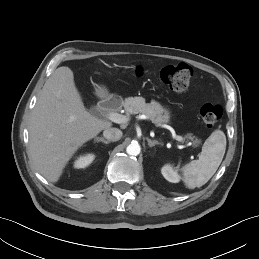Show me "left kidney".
<instances>
[{
  "label": "left kidney",
  "mask_w": 259,
  "mask_h": 259,
  "mask_svg": "<svg viewBox=\"0 0 259 259\" xmlns=\"http://www.w3.org/2000/svg\"><path fill=\"white\" fill-rule=\"evenodd\" d=\"M163 177L172 183H178L180 181V176L177 171L173 169L171 165H165L161 169Z\"/></svg>",
  "instance_id": "obj_1"
}]
</instances>
